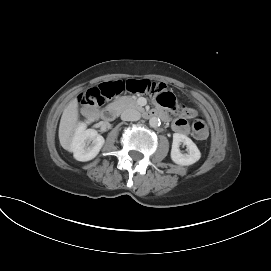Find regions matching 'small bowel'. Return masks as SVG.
Wrapping results in <instances>:
<instances>
[{
  "instance_id": "obj_1",
  "label": "small bowel",
  "mask_w": 271,
  "mask_h": 271,
  "mask_svg": "<svg viewBox=\"0 0 271 271\" xmlns=\"http://www.w3.org/2000/svg\"><path fill=\"white\" fill-rule=\"evenodd\" d=\"M157 87L159 89H164L166 87V82L164 80H159L157 82ZM192 115V113H191ZM173 129L180 133V134H183V135H187L190 131V128H189V125H188V122L180 117V118H177L174 122H173Z\"/></svg>"
}]
</instances>
